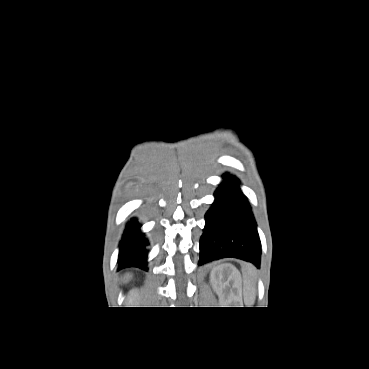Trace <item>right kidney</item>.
<instances>
[{"instance_id":"obj_1","label":"right kidney","mask_w":369,"mask_h":369,"mask_svg":"<svg viewBox=\"0 0 369 369\" xmlns=\"http://www.w3.org/2000/svg\"><path fill=\"white\" fill-rule=\"evenodd\" d=\"M139 297V290L137 288L135 289H132L130 292H129V298L134 300V301H137Z\"/></svg>"}]
</instances>
